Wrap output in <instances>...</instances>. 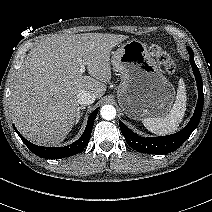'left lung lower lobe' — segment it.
<instances>
[{
  "label": "left lung lower lobe",
  "instance_id": "obj_1",
  "mask_svg": "<svg viewBox=\"0 0 212 212\" xmlns=\"http://www.w3.org/2000/svg\"><path fill=\"white\" fill-rule=\"evenodd\" d=\"M190 63L195 75L198 88V102L192 118L189 123L178 133L160 136V137H140L119 121L120 129L127 143L135 150L148 154H167L177 150L191 135L198 126L203 110V83L198 67L194 62V56L191 49Z\"/></svg>",
  "mask_w": 212,
  "mask_h": 212
}]
</instances>
